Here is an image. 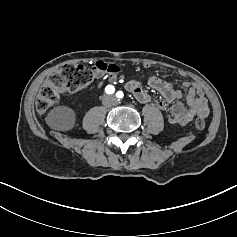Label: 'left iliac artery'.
<instances>
[{
    "instance_id": "44dca946",
    "label": "left iliac artery",
    "mask_w": 237,
    "mask_h": 237,
    "mask_svg": "<svg viewBox=\"0 0 237 237\" xmlns=\"http://www.w3.org/2000/svg\"><path fill=\"white\" fill-rule=\"evenodd\" d=\"M116 96H117L118 98H123L124 94H123L122 91H118V92L116 93Z\"/></svg>"
}]
</instances>
